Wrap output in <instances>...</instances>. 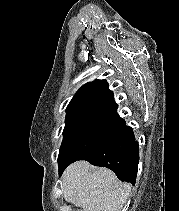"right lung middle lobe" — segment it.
<instances>
[{"label": "right lung middle lobe", "instance_id": "1", "mask_svg": "<svg viewBox=\"0 0 179 211\" xmlns=\"http://www.w3.org/2000/svg\"><path fill=\"white\" fill-rule=\"evenodd\" d=\"M120 120L117 112H83L66 116L59 167L71 164L104 142Z\"/></svg>", "mask_w": 179, "mask_h": 211}]
</instances>
